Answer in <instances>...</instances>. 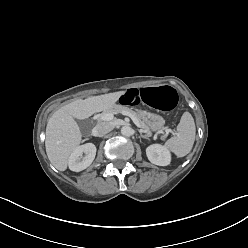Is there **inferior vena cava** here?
Listing matches in <instances>:
<instances>
[{"mask_svg":"<svg viewBox=\"0 0 248 248\" xmlns=\"http://www.w3.org/2000/svg\"><path fill=\"white\" fill-rule=\"evenodd\" d=\"M112 129H113V126L111 123L101 122L95 126L94 132H95L96 136L102 137V136L106 135L107 133H109Z\"/></svg>","mask_w":248,"mask_h":248,"instance_id":"obj_1","label":"inferior vena cava"}]
</instances>
